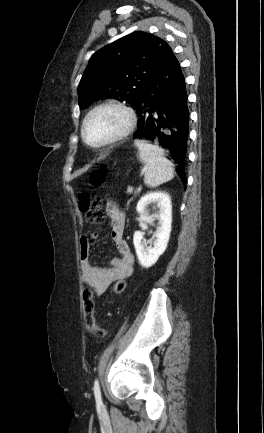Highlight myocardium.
Masks as SVG:
<instances>
[{
  "mask_svg": "<svg viewBox=\"0 0 264 433\" xmlns=\"http://www.w3.org/2000/svg\"><path fill=\"white\" fill-rule=\"evenodd\" d=\"M106 108H114L117 109L119 111H121L124 115H125V124L124 127L115 135L101 141L98 143H92L90 142L87 137H86V125L88 120L98 111L106 109ZM136 125V114L134 112V110L129 107L128 105H126L123 102L117 101V100H108V101H104L96 106H94L84 117L83 121H82V125H81V137L83 139V141L91 146V147H107L113 144L118 143L119 141L123 140L124 138H126L134 129Z\"/></svg>",
  "mask_w": 264,
  "mask_h": 433,
  "instance_id": "myocardium-1",
  "label": "myocardium"
}]
</instances>
